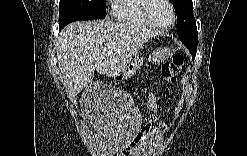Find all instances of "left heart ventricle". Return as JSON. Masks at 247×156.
<instances>
[{
	"mask_svg": "<svg viewBox=\"0 0 247 156\" xmlns=\"http://www.w3.org/2000/svg\"><path fill=\"white\" fill-rule=\"evenodd\" d=\"M150 16L159 25H168L172 20L169 6L161 0L154 1L150 10Z\"/></svg>",
	"mask_w": 247,
	"mask_h": 156,
	"instance_id": "b2bd125f",
	"label": "left heart ventricle"
}]
</instances>
